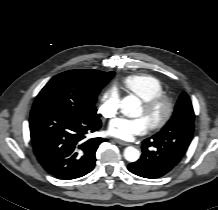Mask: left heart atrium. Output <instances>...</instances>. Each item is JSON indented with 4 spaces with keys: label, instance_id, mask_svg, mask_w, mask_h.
Instances as JSON below:
<instances>
[{
    "label": "left heart atrium",
    "instance_id": "39dd6f15",
    "mask_svg": "<svg viewBox=\"0 0 218 210\" xmlns=\"http://www.w3.org/2000/svg\"><path fill=\"white\" fill-rule=\"evenodd\" d=\"M150 129V124L143 116L134 119L117 118L109 124L108 133L112 137L121 140H132L136 136L146 134Z\"/></svg>",
    "mask_w": 218,
    "mask_h": 210
}]
</instances>
